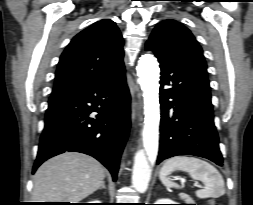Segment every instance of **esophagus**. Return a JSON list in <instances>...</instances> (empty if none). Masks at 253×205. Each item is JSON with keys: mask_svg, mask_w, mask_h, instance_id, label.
I'll list each match as a JSON object with an SVG mask.
<instances>
[{"mask_svg": "<svg viewBox=\"0 0 253 205\" xmlns=\"http://www.w3.org/2000/svg\"><path fill=\"white\" fill-rule=\"evenodd\" d=\"M140 111H141V104L134 100L132 102V120L134 121L139 115H140Z\"/></svg>", "mask_w": 253, "mask_h": 205, "instance_id": "obj_1", "label": "esophagus"}]
</instances>
